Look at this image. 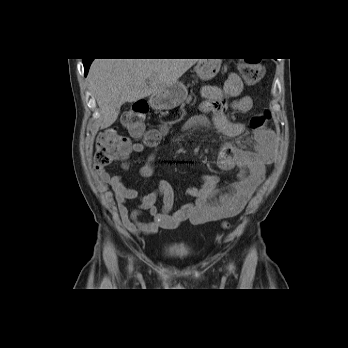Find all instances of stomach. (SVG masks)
<instances>
[{
    "label": "stomach",
    "mask_w": 348,
    "mask_h": 348,
    "mask_svg": "<svg viewBox=\"0 0 348 348\" xmlns=\"http://www.w3.org/2000/svg\"><path fill=\"white\" fill-rule=\"evenodd\" d=\"M220 67V59H199L195 71L201 80L206 81L215 77ZM187 94V87L181 82H176L163 91L152 95L150 103L155 109L169 110L180 105L186 99Z\"/></svg>",
    "instance_id": "1"
}]
</instances>
